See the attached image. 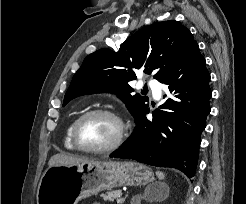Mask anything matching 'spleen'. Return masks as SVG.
Wrapping results in <instances>:
<instances>
[{"label":"spleen","instance_id":"spleen-1","mask_svg":"<svg viewBox=\"0 0 246 204\" xmlns=\"http://www.w3.org/2000/svg\"><path fill=\"white\" fill-rule=\"evenodd\" d=\"M156 174H157L159 179H161V180L165 179V174L163 172L157 171Z\"/></svg>","mask_w":246,"mask_h":204}]
</instances>
